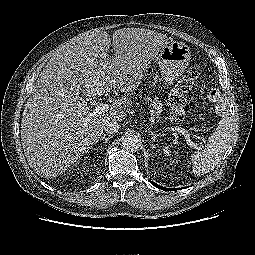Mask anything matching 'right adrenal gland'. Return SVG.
Returning <instances> with one entry per match:
<instances>
[{
    "label": "right adrenal gland",
    "instance_id": "2a0ac1e0",
    "mask_svg": "<svg viewBox=\"0 0 255 255\" xmlns=\"http://www.w3.org/2000/svg\"><path fill=\"white\" fill-rule=\"evenodd\" d=\"M113 136H108V137H106L105 135L104 136H102V137H100L99 139H98V141L99 140H102V141H104V143H106L109 139H111Z\"/></svg>",
    "mask_w": 255,
    "mask_h": 255
}]
</instances>
